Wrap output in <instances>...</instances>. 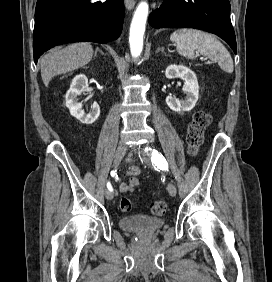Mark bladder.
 <instances>
[{"label": "bladder", "mask_w": 272, "mask_h": 282, "mask_svg": "<svg viewBox=\"0 0 272 282\" xmlns=\"http://www.w3.org/2000/svg\"><path fill=\"white\" fill-rule=\"evenodd\" d=\"M118 223L124 230L137 234H153L164 225V221L161 218L143 215L121 217L119 218Z\"/></svg>", "instance_id": "31cf9c89"}]
</instances>
